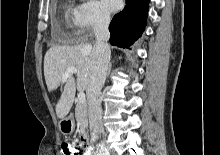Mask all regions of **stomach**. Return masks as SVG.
Segmentation results:
<instances>
[{
  "mask_svg": "<svg viewBox=\"0 0 220 155\" xmlns=\"http://www.w3.org/2000/svg\"><path fill=\"white\" fill-rule=\"evenodd\" d=\"M74 129H75V122L71 116L62 119L59 122V130L64 135L71 134L74 131Z\"/></svg>",
  "mask_w": 220,
  "mask_h": 155,
  "instance_id": "0dacf381",
  "label": "stomach"
}]
</instances>
